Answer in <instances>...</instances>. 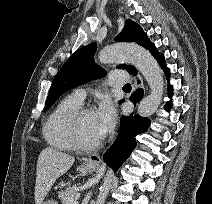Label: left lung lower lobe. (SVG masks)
<instances>
[{"label":"left lung lower lobe","instance_id":"left-lung-lower-lobe-1","mask_svg":"<svg viewBox=\"0 0 212 204\" xmlns=\"http://www.w3.org/2000/svg\"><path fill=\"white\" fill-rule=\"evenodd\" d=\"M153 56L159 61L165 73L169 74V69L165 65L164 56L158 51ZM135 72L133 75H136ZM169 94H172V87L169 85ZM143 90L137 89L130 97V100L136 104L141 100ZM166 109L171 108V103H168ZM150 121L148 118L139 115H130L129 117H122L121 119V132L113 145L104 154V161L112 166L114 170L129 157L130 153L136 146L135 136L145 132L148 129Z\"/></svg>","mask_w":212,"mask_h":204}]
</instances>
